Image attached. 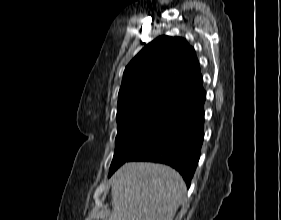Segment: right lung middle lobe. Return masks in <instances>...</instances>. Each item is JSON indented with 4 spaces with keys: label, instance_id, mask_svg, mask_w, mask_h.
Returning <instances> with one entry per match:
<instances>
[{
    "label": "right lung middle lobe",
    "instance_id": "dd1d6c3e",
    "mask_svg": "<svg viewBox=\"0 0 281 220\" xmlns=\"http://www.w3.org/2000/svg\"><path fill=\"white\" fill-rule=\"evenodd\" d=\"M169 118L161 115H142L117 120L116 147L109 176L145 145Z\"/></svg>",
    "mask_w": 281,
    "mask_h": 220
}]
</instances>
